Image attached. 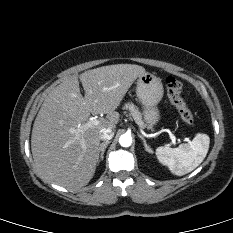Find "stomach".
<instances>
[{
    "label": "stomach",
    "mask_w": 233,
    "mask_h": 233,
    "mask_svg": "<svg viewBox=\"0 0 233 233\" xmlns=\"http://www.w3.org/2000/svg\"><path fill=\"white\" fill-rule=\"evenodd\" d=\"M136 94L143 106V119L146 125L154 126L160 119L157 106L164 94L161 79L149 72L144 73L137 79Z\"/></svg>",
    "instance_id": "1"
}]
</instances>
